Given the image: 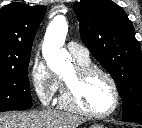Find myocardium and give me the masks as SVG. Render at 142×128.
Masks as SVG:
<instances>
[{"label": "myocardium", "mask_w": 142, "mask_h": 128, "mask_svg": "<svg viewBox=\"0 0 142 128\" xmlns=\"http://www.w3.org/2000/svg\"><path fill=\"white\" fill-rule=\"evenodd\" d=\"M75 71L78 83H82L88 77L96 74L102 75L106 78L114 93V105L109 111L104 113L91 112L85 109L79 102L75 86L68 83L65 79H63V95L61 99L62 105L74 113L89 118L102 119L113 115L118 109L121 101L120 91L115 79L106 70L94 65H77L75 67Z\"/></svg>", "instance_id": "f54148a6"}]
</instances>
